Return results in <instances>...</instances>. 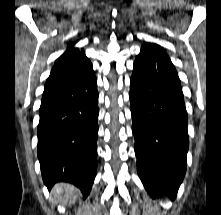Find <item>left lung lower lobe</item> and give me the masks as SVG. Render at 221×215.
Segmentation results:
<instances>
[{"instance_id":"0a47b994","label":"left lung lower lobe","mask_w":221,"mask_h":215,"mask_svg":"<svg viewBox=\"0 0 221 215\" xmlns=\"http://www.w3.org/2000/svg\"><path fill=\"white\" fill-rule=\"evenodd\" d=\"M130 104L138 175L151 197L174 199L186 172L187 112L177 71L157 44L134 62Z\"/></svg>"}]
</instances>
